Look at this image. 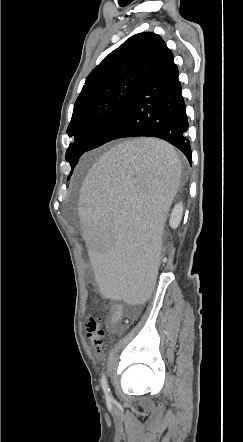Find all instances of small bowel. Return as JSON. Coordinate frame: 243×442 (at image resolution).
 Returning <instances> with one entry per match:
<instances>
[{"label":"small bowel","mask_w":243,"mask_h":442,"mask_svg":"<svg viewBox=\"0 0 243 442\" xmlns=\"http://www.w3.org/2000/svg\"><path fill=\"white\" fill-rule=\"evenodd\" d=\"M123 316V309L119 306L114 307L112 310V315L109 320V330L112 333H116L120 330L119 321Z\"/></svg>","instance_id":"1"}]
</instances>
